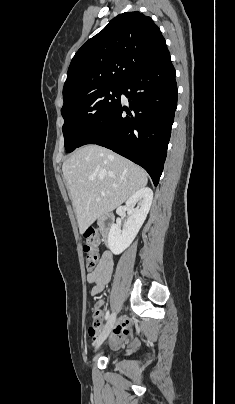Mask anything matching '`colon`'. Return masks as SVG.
<instances>
[{
  "label": "colon",
  "instance_id": "1",
  "mask_svg": "<svg viewBox=\"0 0 235 404\" xmlns=\"http://www.w3.org/2000/svg\"><path fill=\"white\" fill-rule=\"evenodd\" d=\"M101 242V236L96 229H87L85 231V245L83 247L85 254L86 267L89 270H93L97 266L98 262V252L97 247ZM100 320V310L95 308L92 315V325L91 328H96Z\"/></svg>",
  "mask_w": 235,
  "mask_h": 404
}]
</instances>
